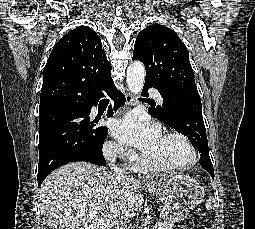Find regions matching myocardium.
<instances>
[{
	"mask_svg": "<svg viewBox=\"0 0 255 229\" xmlns=\"http://www.w3.org/2000/svg\"><path fill=\"white\" fill-rule=\"evenodd\" d=\"M162 136L178 139L183 144H185L188 147V149L190 150L191 159L188 163H186L184 165L170 166V165H165L160 162L150 160L144 154L142 156V161L145 162L150 167L151 170L178 173V172L187 171L196 165V163L198 161V152H197L194 144L185 135H183L182 133L176 132V131H165L162 134Z\"/></svg>",
	"mask_w": 255,
	"mask_h": 229,
	"instance_id": "obj_1",
	"label": "myocardium"
}]
</instances>
